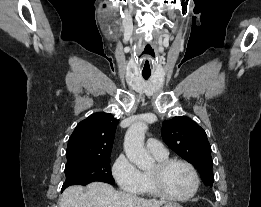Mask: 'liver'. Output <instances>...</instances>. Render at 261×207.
I'll use <instances>...</instances> for the list:
<instances>
[{
	"label": "liver",
	"mask_w": 261,
	"mask_h": 207,
	"mask_svg": "<svg viewBox=\"0 0 261 207\" xmlns=\"http://www.w3.org/2000/svg\"><path fill=\"white\" fill-rule=\"evenodd\" d=\"M163 200H148L115 190L103 182H92L86 191L70 186L62 194L59 207H160Z\"/></svg>",
	"instance_id": "1"
}]
</instances>
